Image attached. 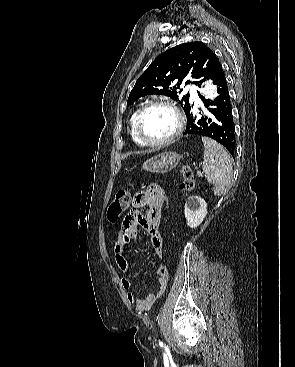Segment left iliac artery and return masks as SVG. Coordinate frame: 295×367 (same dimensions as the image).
Segmentation results:
<instances>
[{
    "instance_id": "left-iliac-artery-1",
    "label": "left iliac artery",
    "mask_w": 295,
    "mask_h": 367,
    "mask_svg": "<svg viewBox=\"0 0 295 367\" xmlns=\"http://www.w3.org/2000/svg\"><path fill=\"white\" fill-rule=\"evenodd\" d=\"M159 344H160V346H162V347L164 346V344H163L162 342H159Z\"/></svg>"
}]
</instances>
